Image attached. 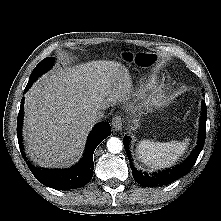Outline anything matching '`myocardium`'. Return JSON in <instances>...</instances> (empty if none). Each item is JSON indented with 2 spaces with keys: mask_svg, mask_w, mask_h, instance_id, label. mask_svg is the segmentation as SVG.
<instances>
[{
  "mask_svg": "<svg viewBox=\"0 0 221 221\" xmlns=\"http://www.w3.org/2000/svg\"><path fill=\"white\" fill-rule=\"evenodd\" d=\"M168 93V87L165 84L157 85L151 92L149 102L152 105H158L164 101Z\"/></svg>",
  "mask_w": 221,
  "mask_h": 221,
  "instance_id": "myocardium-1",
  "label": "myocardium"
}]
</instances>
